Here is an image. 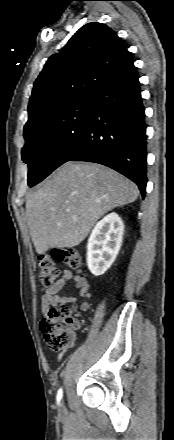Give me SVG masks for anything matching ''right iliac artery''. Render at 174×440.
Masks as SVG:
<instances>
[{
    "instance_id": "obj_1",
    "label": "right iliac artery",
    "mask_w": 174,
    "mask_h": 440,
    "mask_svg": "<svg viewBox=\"0 0 174 440\" xmlns=\"http://www.w3.org/2000/svg\"><path fill=\"white\" fill-rule=\"evenodd\" d=\"M62 393H63L62 388H60L57 393V403L58 404H60V401L62 399Z\"/></svg>"
}]
</instances>
